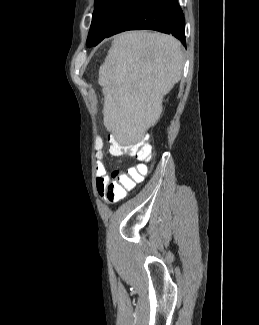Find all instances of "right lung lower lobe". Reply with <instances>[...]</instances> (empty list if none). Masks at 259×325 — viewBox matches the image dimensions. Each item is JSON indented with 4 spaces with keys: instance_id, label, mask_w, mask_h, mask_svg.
<instances>
[{
    "instance_id": "right-lung-lower-lobe-1",
    "label": "right lung lower lobe",
    "mask_w": 259,
    "mask_h": 325,
    "mask_svg": "<svg viewBox=\"0 0 259 325\" xmlns=\"http://www.w3.org/2000/svg\"><path fill=\"white\" fill-rule=\"evenodd\" d=\"M184 25V14L177 0H132L106 37L126 30L152 29L172 34L186 45Z\"/></svg>"
}]
</instances>
